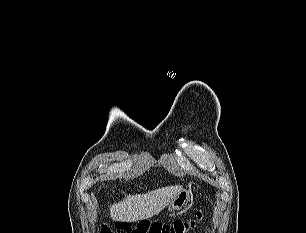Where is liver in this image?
Masks as SVG:
<instances>
[{
	"label": "liver",
	"mask_w": 306,
	"mask_h": 233,
	"mask_svg": "<svg viewBox=\"0 0 306 233\" xmlns=\"http://www.w3.org/2000/svg\"><path fill=\"white\" fill-rule=\"evenodd\" d=\"M182 186H166L146 194L127 195L110 206V217L118 222H136L157 215L177 196Z\"/></svg>",
	"instance_id": "6515ba94"
}]
</instances>
